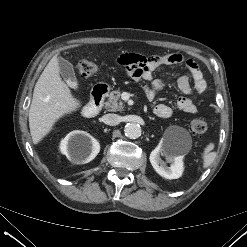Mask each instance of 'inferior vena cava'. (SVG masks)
<instances>
[{
  "instance_id": "602c4592",
  "label": "inferior vena cava",
  "mask_w": 247,
  "mask_h": 247,
  "mask_svg": "<svg viewBox=\"0 0 247 247\" xmlns=\"http://www.w3.org/2000/svg\"><path fill=\"white\" fill-rule=\"evenodd\" d=\"M102 121L107 125H118L120 117L117 114H106L102 117Z\"/></svg>"
}]
</instances>
